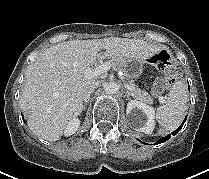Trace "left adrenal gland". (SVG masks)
<instances>
[{
  "label": "left adrenal gland",
  "mask_w": 209,
  "mask_h": 179,
  "mask_svg": "<svg viewBox=\"0 0 209 179\" xmlns=\"http://www.w3.org/2000/svg\"><path fill=\"white\" fill-rule=\"evenodd\" d=\"M126 97L129 100L130 99V92L126 90Z\"/></svg>",
  "instance_id": "left-adrenal-gland-1"
}]
</instances>
